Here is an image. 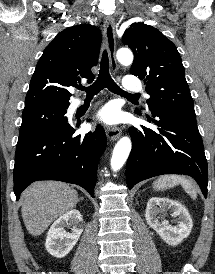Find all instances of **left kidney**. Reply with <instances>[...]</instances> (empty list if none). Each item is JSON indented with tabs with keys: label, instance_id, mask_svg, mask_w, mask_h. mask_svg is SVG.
<instances>
[{
	"label": "left kidney",
	"instance_id": "obj_1",
	"mask_svg": "<svg viewBox=\"0 0 215 274\" xmlns=\"http://www.w3.org/2000/svg\"><path fill=\"white\" fill-rule=\"evenodd\" d=\"M170 209L173 217H177L176 225L172 226L167 220H160L159 213ZM147 224L153 228L168 245H178L187 238L193 227L188 210L177 201L167 198H151L146 207Z\"/></svg>",
	"mask_w": 215,
	"mask_h": 274
}]
</instances>
